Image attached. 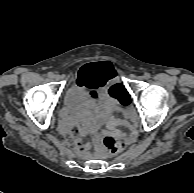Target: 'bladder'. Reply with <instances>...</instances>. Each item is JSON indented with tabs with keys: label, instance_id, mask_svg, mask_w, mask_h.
Returning <instances> with one entry per match:
<instances>
[{
	"label": "bladder",
	"instance_id": "bladder-1",
	"mask_svg": "<svg viewBox=\"0 0 194 193\" xmlns=\"http://www.w3.org/2000/svg\"><path fill=\"white\" fill-rule=\"evenodd\" d=\"M84 95H85V91L83 89L79 87H75L70 92V95L68 96V100L71 103H78L84 98Z\"/></svg>",
	"mask_w": 194,
	"mask_h": 193
}]
</instances>
